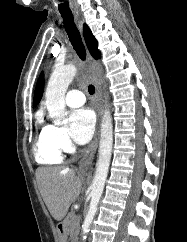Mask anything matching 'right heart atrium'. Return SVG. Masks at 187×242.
<instances>
[{
    "label": "right heart atrium",
    "mask_w": 187,
    "mask_h": 242,
    "mask_svg": "<svg viewBox=\"0 0 187 242\" xmlns=\"http://www.w3.org/2000/svg\"><path fill=\"white\" fill-rule=\"evenodd\" d=\"M51 138L54 145L61 151H70L72 143L67 135V131L62 126L52 125Z\"/></svg>",
    "instance_id": "right-heart-atrium-1"
}]
</instances>
